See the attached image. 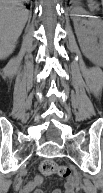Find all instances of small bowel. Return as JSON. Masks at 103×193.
<instances>
[{
	"instance_id": "small-bowel-1",
	"label": "small bowel",
	"mask_w": 103,
	"mask_h": 193,
	"mask_svg": "<svg viewBox=\"0 0 103 193\" xmlns=\"http://www.w3.org/2000/svg\"><path fill=\"white\" fill-rule=\"evenodd\" d=\"M78 181L70 178L64 182L63 189H54L51 193H76ZM20 193H45L44 181L41 177L34 178L30 183L21 187Z\"/></svg>"
}]
</instances>
